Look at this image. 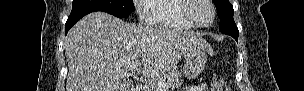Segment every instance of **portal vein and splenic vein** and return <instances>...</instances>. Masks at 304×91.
<instances>
[{"mask_svg":"<svg viewBox=\"0 0 304 91\" xmlns=\"http://www.w3.org/2000/svg\"><path fill=\"white\" fill-rule=\"evenodd\" d=\"M139 64H140L139 60H134L133 62H131L129 64L130 70H134V69L138 68ZM156 89H157V91H166L167 86L164 83H158V86Z\"/></svg>","mask_w":304,"mask_h":91,"instance_id":"1","label":"portal vein and splenic vein"}]
</instances>
